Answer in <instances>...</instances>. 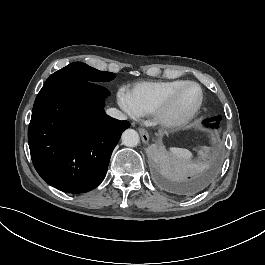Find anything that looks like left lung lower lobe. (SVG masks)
I'll return each mask as SVG.
<instances>
[{"label":"left lung lower lobe","instance_id":"0a47b994","mask_svg":"<svg viewBox=\"0 0 265 265\" xmlns=\"http://www.w3.org/2000/svg\"><path fill=\"white\" fill-rule=\"evenodd\" d=\"M221 120V117L220 116H217V117H214V118H211V119H207L205 120L203 123L206 125V126H210L212 128H218V125H219V121ZM213 122L212 124H209ZM171 167V164L169 161H164L162 166H161V173H160V176H161V180L166 182L167 181V178H166V171H168ZM172 186V188L178 190V191H182V192H186V191H192V190H196L200 184L198 183H177V184H170Z\"/></svg>","mask_w":265,"mask_h":265}]
</instances>
